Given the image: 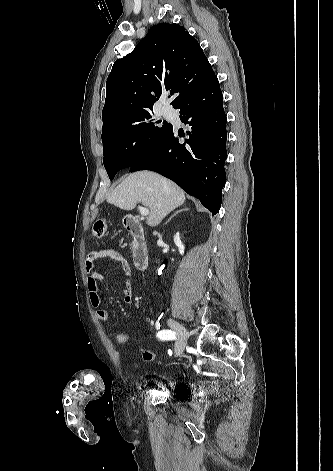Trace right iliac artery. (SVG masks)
I'll list each match as a JSON object with an SVG mask.
<instances>
[{
  "label": "right iliac artery",
  "mask_w": 333,
  "mask_h": 471,
  "mask_svg": "<svg viewBox=\"0 0 333 471\" xmlns=\"http://www.w3.org/2000/svg\"><path fill=\"white\" fill-rule=\"evenodd\" d=\"M157 337L161 340H175L176 334L172 330L164 329L157 333Z\"/></svg>",
  "instance_id": "82829eb1"
}]
</instances>
